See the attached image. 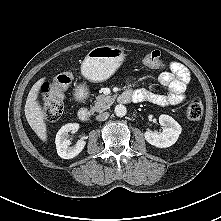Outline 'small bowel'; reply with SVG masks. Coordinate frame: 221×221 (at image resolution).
Returning <instances> with one entry per match:
<instances>
[{
  "label": "small bowel",
  "mask_w": 221,
  "mask_h": 221,
  "mask_svg": "<svg viewBox=\"0 0 221 221\" xmlns=\"http://www.w3.org/2000/svg\"><path fill=\"white\" fill-rule=\"evenodd\" d=\"M190 80L188 70L179 62L170 63V72L159 76V83L168 93L159 94L144 88H128L126 91L135 102L148 101L159 106L178 105L183 102L185 92Z\"/></svg>",
  "instance_id": "obj_1"
}]
</instances>
